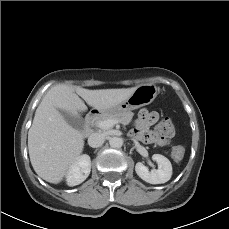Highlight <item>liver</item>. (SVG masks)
Here are the masks:
<instances>
[{
	"label": "liver",
	"instance_id": "6515ba94",
	"mask_svg": "<svg viewBox=\"0 0 229 229\" xmlns=\"http://www.w3.org/2000/svg\"><path fill=\"white\" fill-rule=\"evenodd\" d=\"M136 88L89 90L65 84L52 87L36 109L28 132L30 161L38 176L60 183L83 151L84 135L66 122L60 110L79 116L87 111L84 99L100 112L122 103Z\"/></svg>",
	"mask_w": 229,
	"mask_h": 229
}]
</instances>
